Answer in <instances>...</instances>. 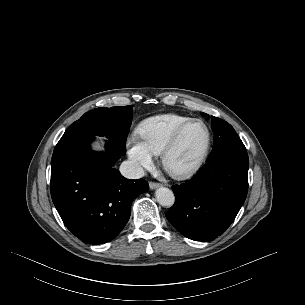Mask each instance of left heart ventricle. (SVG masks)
Segmentation results:
<instances>
[{
	"instance_id": "1",
	"label": "left heart ventricle",
	"mask_w": 305,
	"mask_h": 305,
	"mask_svg": "<svg viewBox=\"0 0 305 305\" xmlns=\"http://www.w3.org/2000/svg\"><path fill=\"white\" fill-rule=\"evenodd\" d=\"M207 141V131L201 124L191 126L170 157V165L174 169H183L192 165L202 153Z\"/></svg>"
}]
</instances>
